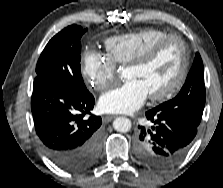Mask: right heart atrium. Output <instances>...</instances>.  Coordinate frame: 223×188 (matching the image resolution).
<instances>
[{"label": "right heart atrium", "instance_id": "obj_1", "mask_svg": "<svg viewBox=\"0 0 223 188\" xmlns=\"http://www.w3.org/2000/svg\"><path fill=\"white\" fill-rule=\"evenodd\" d=\"M81 72L87 84L101 92L115 80L117 67L109 56L87 51L83 56Z\"/></svg>", "mask_w": 223, "mask_h": 188}]
</instances>
